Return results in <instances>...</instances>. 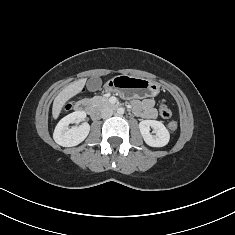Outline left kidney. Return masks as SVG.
Masks as SVG:
<instances>
[{"instance_id": "obj_1", "label": "left kidney", "mask_w": 235, "mask_h": 235, "mask_svg": "<svg viewBox=\"0 0 235 235\" xmlns=\"http://www.w3.org/2000/svg\"><path fill=\"white\" fill-rule=\"evenodd\" d=\"M150 127L155 135H151ZM139 129L145 143L151 147H163L170 140L169 131L161 121L143 120L139 123Z\"/></svg>"}]
</instances>
